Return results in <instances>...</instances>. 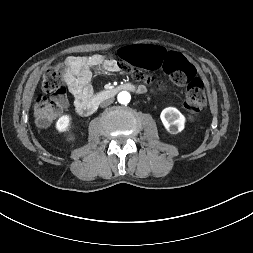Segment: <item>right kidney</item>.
I'll return each mask as SVG.
<instances>
[{"mask_svg": "<svg viewBox=\"0 0 253 253\" xmlns=\"http://www.w3.org/2000/svg\"><path fill=\"white\" fill-rule=\"evenodd\" d=\"M70 125H71V116L63 115L58 119L56 123V129L59 132H68L70 130Z\"/></svg>", "mask_w": 253, "mask_h": 253, "instance_id": "right-kidney-1", "label": "right kidney"}]
</instances>
